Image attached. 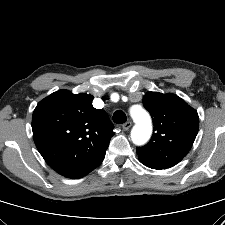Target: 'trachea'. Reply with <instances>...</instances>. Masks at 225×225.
Returning <instances> with one entry per match:
<instances>
[{"mask_svg":"<svg viewBox=\"0 0 225 225\" xmlns=\"http://www.w3.org/2000/svg\"><path fill=\"white\" fill-rule=\"evenodd\" d=\"M126 120H127V117H126L125 113L121 110H117L113 114V121L116 124H123L126 122Z\"/></svg>","mask_w":225,"mask_h":225,"instance_id":"trachea-1","label":"trachea"}]
</instances>
